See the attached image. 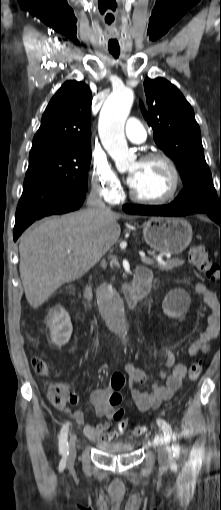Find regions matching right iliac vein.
I'll return each instance as SVG.
<instances>
[{"label": "right iliac vein", "mask_w": 221, "mask_h": 510, "mask_svg": "<svg viewBox=\"0 0 221 510\" xmlns=\"http://www.w3.org/2000/svg\"><path fill=\"white\" fill-rule=\"evenodd\" d=\"M75 457H76V436L73 434L71 435L69 440V451L67 457V462L69 465L73 464Z\"/></svg>", "instance_id": "1"}]
</instances>
